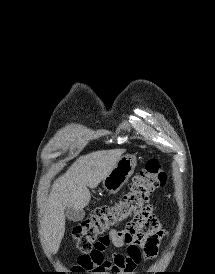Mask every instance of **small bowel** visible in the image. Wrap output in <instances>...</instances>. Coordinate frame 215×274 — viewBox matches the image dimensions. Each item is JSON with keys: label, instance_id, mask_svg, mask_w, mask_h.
Segmentation results:
<instances>
[{"label": "small bowel", "instance_id": "small-bowel-1", "mask_svg": "<svg viewBox=\"0 0 215 274\" xmlns=\"http://www.w3.org/2000/svg\"><path fill=\"white\" fill-rule=\"evenodd\" d=\"M162 238L160 223L149 205L123 230H110L90 252L81 254L72 271L89 274H138L137 266L142 259H151L157 255ZM111 245L124 247L125 251L109 253Z\"/></svg>", "mask_w": 215, "mask_h": 274}]
</instances>
